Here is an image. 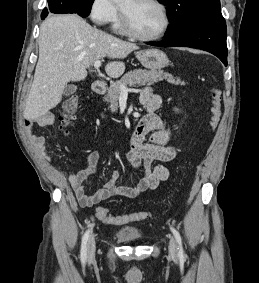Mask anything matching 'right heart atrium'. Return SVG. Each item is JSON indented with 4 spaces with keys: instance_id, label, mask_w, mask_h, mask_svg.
<instances>
[{
    "instance_id": "1",
    "label": "right heart atrium",
    "mask_w": 259,
    "mask_h": 283,
    "mask_svg": "<svg viewBox=\"0 0 259 283\" xmlns=\"http://www.w3.org/2000/svg\"><path fill=\"white\" fill-rule=\"evenodd\" d=\"M89 15L95 24L104 26L113 22L117 15V7L112 0H92Z\"/></svg>"
}]
</instances>
